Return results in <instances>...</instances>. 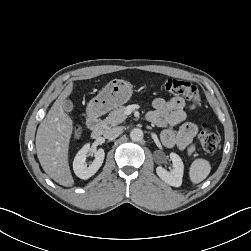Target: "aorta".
<instances>
[{
  "label": "aorta",
  "instance_id": "1",
  "mask_svg": "<svg viewBox=\"0 0 251 251\" xmlns=\"http://www.w3.org/2000/svg\"><path fill=\"white\" fill-rule=\"evenodd\" d=\"M143 131L139 128H134L130 132V138L134 142L141 141L143 139Z\"/></svg>",
  "mask_w": 251,
  "mask_h": 251
}]
</instances>
